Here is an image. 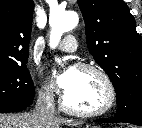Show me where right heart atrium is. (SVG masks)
Returning <instances> with one entry per match:
<instances>
[{
	"label": "right heart atrium",
	"mask_w": 142,
	"mask_h": 128,
	"mask_svg": "<svg viewBox=\"0 0 142 128\" xmlns=\"http://www.w3.org/2000/svg\"><path fill=\"white\" fill-rule=\"evenodd\" d=\"M55 93L54 85L51 82L43 81L39 88V96L46 101L53 99Z\"/></svg>",
	"instance_id": "d8ad5b80"
}]
</instances>
